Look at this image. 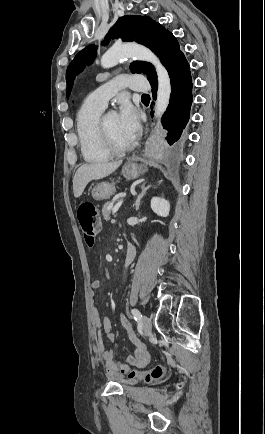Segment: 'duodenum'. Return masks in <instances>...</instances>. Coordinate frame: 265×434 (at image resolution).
I'll list each match as a JSON object with an SVG mask.
<instances>
[{"label": "duodenum", "instance_id": "duodenum-1", "mask_svg": "<svg viewBox=\"0 0 265 434\" xmlns=\"http://www.w3.org/2000/svg\"><path fill=\"white\" fill-rule=\"evenodd\" d=\"M136 255V247L135 245L131 244L128 246L127 251L123 258V266H127L129 263L132 262Z\"/></svg>", "mask_w": 265, "mask_h": 434}]
</instances>
